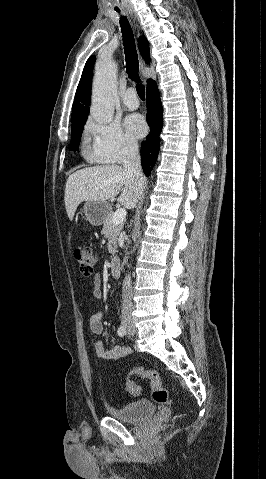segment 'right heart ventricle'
<instances>
[{
	"label": "right heart ventricle",
	"instance_id": "e07e8e85",
	"mask_svg": "<svg viewBox=\"0 0 266 479\" xmlns=\"http://www.w3.org/2000/svg\"><path fill=\"white\" fill-rule=\"evenodd\" d=\"M85 153H86V155H88V149L86 150V152H85Z\"/></svg>",
	"mask_w": 266,
	"mask_h": 479
}]
</instances>
